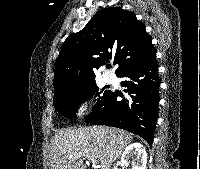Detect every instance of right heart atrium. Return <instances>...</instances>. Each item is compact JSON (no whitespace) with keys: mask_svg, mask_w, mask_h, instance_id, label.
Segmentation results:
<instances>
[{"mask_svg":"<svg viewBox=\"0 0 200 169\" xmlns=\"http://www.w3.org/2000/svg\"><path fill=\"white\" fill-rule=\"evenodd\" d=\"M92 102L89 98L85 97L81 99L75 107V114L78 117H82L85 115L91 108Z\"/></svg>","mask_w":200,"mask_h":169,"instance_id":"1","label":"right heart atrium"}]
</instances>
